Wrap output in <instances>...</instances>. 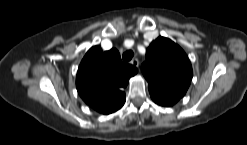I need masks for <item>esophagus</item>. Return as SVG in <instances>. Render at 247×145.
Segmentation results:
<instances>
[{
	"label": "esophagus",
	"instance_id": "obj_1",
	"mask_svg": "<svg viewBox=\"0 0 247 145\" xmlns=\"http://www.w3.org/2000/svg\"><path fill=\"white\" fill-rule=\"evenodd\" d=\"M131 64L134 65L135 67H138L139 66V60L137 58H135L131 61Z\"/></svg>",
	"mask_w": 247,
	"mask_h": 145
}]
</instances>
